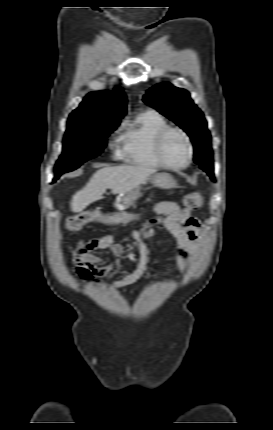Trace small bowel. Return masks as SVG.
<instances>
[{
  "mask_svg": "<svg viewBox=\"0 0 273 430\" xmlns=\"http://www.w3.org/2000/svg\"><path fill=\"white\" fill-rule=\"evenodd\" d=\"M154 212L161 217L144 225L141 229L131 228L130 236L137 242L139 260L135 270L124 277L112 282V287L123 288L136 283L148 270L150 250L144 239L154 235V227L166 228L176 240L175 261L181 272H185L192 259L198 254L203 240V232L200 222L191 216L190 212L181 211L174 202H159L154 205ZM89 251L110 250L113 261L106 267H102L100 261L89 252H81L79 258H74L75 270L82 282H93L100 285L102 274L113 268L124 253L121 244L115 242V234L95 237L86 243Z\"/></svg>",
  "mask_w": 273,
  "mask_h": 430,
  "instance_id": "obj_1",
  "label": "small bowel"
}]
</instances>
